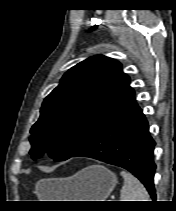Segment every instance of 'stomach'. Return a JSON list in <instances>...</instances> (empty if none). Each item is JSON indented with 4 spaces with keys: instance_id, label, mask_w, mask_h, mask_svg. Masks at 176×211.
<instances>
[{
    "instance_id": "stomach-1",
    "label": "stomach",
    "mask_w": 176,
    "mask_h": 211,
    "mask_svg": "<svg viewBox=\"0 0 176 211\" xmlns=\"http://www.w3.org/2000/svg\"><path fill=\"white\" fill-rule=\"evenodd\" d=\"M117 184L116 175L101 165L86 167L70 178L41 180L38 191L50 201H106Z\"/></svg>"
}]
</instances>
